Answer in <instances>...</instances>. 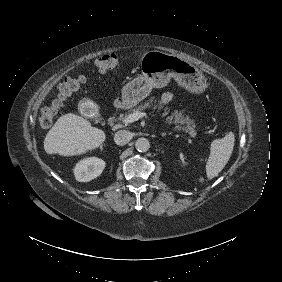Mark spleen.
<instances>
[{"label":"spleen","instance_id":"spleen-1","mask_svg":"<svg viewBox=\"0 0 282 282\" xmlns=\"http://www.w3.org/2000/svg\"><path fill=\"white\" fill-rule=\"evenodd\" d=\"M235 137L233 132H229L225 137L216 139L212 142L210 148V156L206 164V174L208 179H212L223 170L228 163L233 147ZM200 182L204 181V178L199 179Z\"/></svg>","mask_w":282,"mask_h":282}]
</instances>
